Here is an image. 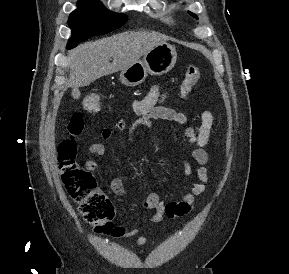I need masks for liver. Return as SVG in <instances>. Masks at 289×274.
<instances>
[{
    "mask_svg": "<svg viewBox=\"0 0 289 274\" xmlns=\"http://www.w3.org/2000/svg\"><path fill=\"white\" fill-rule=\"evenodd\" d=\"M163 42L164 37L156 33L125 32L80 45L68 55V85L78 89L105 75L122 71ZM110 58H113L112 62Z\"/></svg>",
    "mask_w": 289,
    "mask_h": 274,
    "instance_id": "6515ba94",
    "label": "liver"
}]
</instances>
